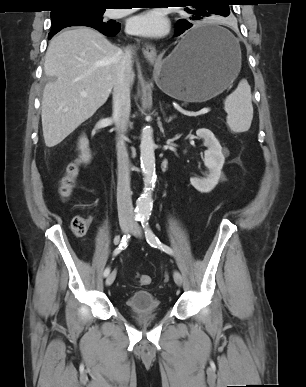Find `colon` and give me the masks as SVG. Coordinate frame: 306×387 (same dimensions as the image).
<instances>
[{
  "label": "colon",
  "mask_w": 306,
  "mask_h": 387,
  "mask_svg": "<svg viewBox=\"0 0 306 387\" xmlns=\"http://www.w3.org/2000/svg\"><path fill=\"white\" fill-rule=\"evenodd\" d=\"M79 163L73 161L66 166L65 172L60 179L59 194L62 199L67 200L71 197L79 175ZM72 232L78 236H84L89 229V222L82 216H75L71 221ZM134 281L139 286H146L151 283V277L145 274H136Z\"/></svg>",
  "instance_id": "1"
}]
</instances>
